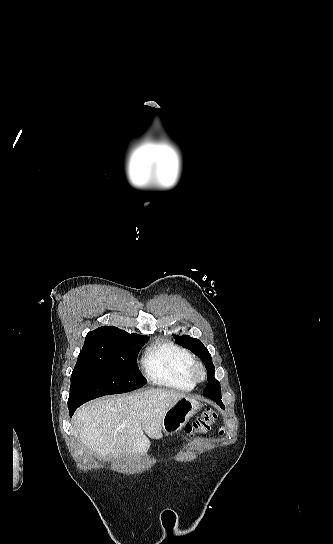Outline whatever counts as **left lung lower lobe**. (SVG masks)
<instances>
[{
	"label": "left lung lower lobe",
	"instance_id": "1",
	"mask_svg": "<svg viewBox=\"0 0 333 544\" xmlns=\"http://www.w3.org/2000/svg\"><path fill=\"white\" fill-rule=\"evenodd\" d=\"M204 396L214 400L221 408H225L224 404L221 400V392H210V393H204Z\"/></svg>",
	"mask_w": 333,
	"mask_h": 544
}]
</instances>
